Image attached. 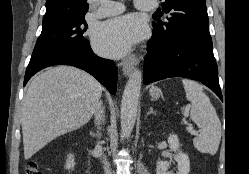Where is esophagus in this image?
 <instances>
[{"label":"esophagus","instance_id":"obj_1","mask_svg":"<svg viewBox=\"0 0 249 174\" xmlns=\"http://www.w3.org/2000/svg\"><path fill=\"white\" fill-rule=\"evenodd\" d=\"M138 59L135 56H132L128 59H125L121 62L122 72L125 76L131 75L134 70L135 65L137 64Z\"/></svg>","mask_w":249,"mask_h":174}]
</instances>
